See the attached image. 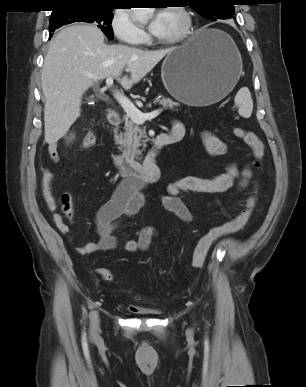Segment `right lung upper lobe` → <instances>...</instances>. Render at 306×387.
Returning <instances> with one entry per match:
<instances>
[{
	"label": "right lung upper lobe",
	"mask_w": 306,
	"mask_h": 387,
	"mask_svg": "<svg viewBox=\"0 0 306 387\" xmlns=\"http://www.w3.org/2000/svg\"><path fill=\"white\" fill-rule=\"evenodd\" d=\"M56 9L52 13L59 12L68 7L75 6H104L111 7L114 0H56Z\"/></svg>",
	"instance_id": "1"
}]
</instances>
